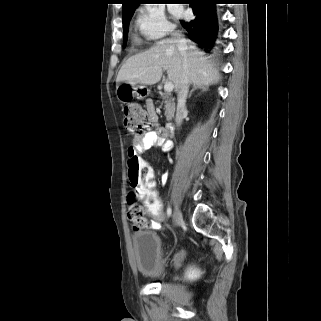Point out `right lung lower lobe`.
Masks as SVG:
<instances>
[{"mask_svg": "<svg viewBox=\"0 0 321 321\" xmlns=\"http://www.w3.org/2000/svg\"><path fill=\"white\" fill-rule=\"evenodd\" d=\"M189 1L195 18L181 21V25L188 32V38L198 43L206 52H210L216 45L218 22L215 4L219 3V0Z\"/></svg>", "mask_w": 321, "mask_h": 321, "instance_id": "right-lung-lower-lobe-1", "label": "right lung lower lobe"}]
</instances>
